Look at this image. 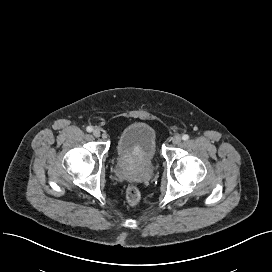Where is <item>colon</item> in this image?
<instances>
[{
    "instance_id": "5ec220e1",
    "label": "colon",
    "mask_w": 272,
    "mask_h": 272,
    "mask_svg": "<svg viewBox=\"0 0 272 272\" xmlns=\"http://www.w3.org/2000/svg\"><path fill=\"white\" fill-rule=\"evenodd\" d=\"M125 198L129 206H137L141 200V192L139 188L135 185L128 186L126 189Z\"/></svg>"
}]
</instances>
